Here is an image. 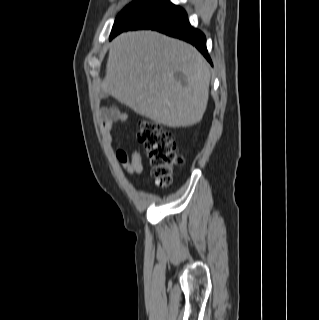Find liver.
Returning <instances> with one entry per match:
<instances>
[{
    "instance_id": "1",
    "label": "liver",
    "mask_w": 319,
    "mask_h": 320,
    "mask_svg": "<svg viewBox=\"0 0 319 320\" xmlns=\"http://www.w3.org/2000/svg\"><path fill=\"white\" fill-rule=\"evenodd\" d=\"M209 83V64L192 45L156 31H129L112 41L101 88L137 114L179 128L201 121Z\"/></svg>"
}]
</instances>
